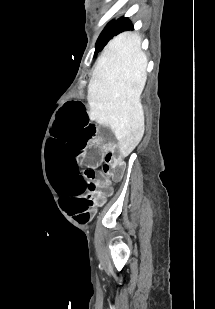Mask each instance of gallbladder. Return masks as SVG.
Instances as JSON below:
<instances>
[{
  "label": "gallbladder",
  "mask_w": 215,
  "mask_h": 309,
  "mask_svg": "<svg viewBox=\"0 0 215 309\" xmlns=\"http://www.w3.org/2000/svg\"><path fill=\"white\" fill-rule=\"evenodd\" d=\"M97 131L99 136H105V139L107 142H111V140L114 139L115 131L114 129H108V127H105L104 125H98Z\"/></svg>",
  "instance_id": "1"
}]
</instances>
